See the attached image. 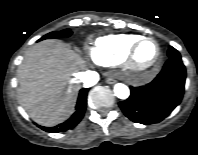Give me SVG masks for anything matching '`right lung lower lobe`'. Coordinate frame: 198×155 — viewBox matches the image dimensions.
<instances>
[{
	"label": "right lung lower lobe",
	"instance_id": "98d812e1",
	"mask_svg": "<svg viewBox=\"0 0 198 155\" xmlns=\"http://www.w3.org/2000/svg\"><path fill=\"white\" fill-rule=\"evenodd\" d=\"M87 93H88V89L80 90L76 105V111L71 116V118H69L66 122L61 123L55 127H43V126H39V127L44 131L52 132V133L64 132L68 129L75 127L83 118L87 104Z\"/></svg>",
	"mask_w": 198,
	"mask_h": 155
}]
</instances>
